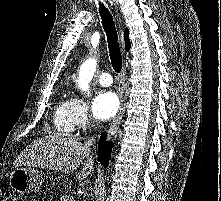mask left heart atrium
Masks as SVG:
<instances>
[{"mask_svg": "<svg viewBox=\"0 0 221 201\" xmlns=\"http://www.w3.org/2000/svg\"><path fill=\"white\" fill-rule=\"evenodd\" d=\"M119 99L112 91H100L95 97L92 105L94 117L99 121L112 118L118 111Z\"/></svg>", "mask_w": 221, "mask_h": 201, "instance_id": "left-heart-atrium-1", "label": "left heart atrium"}]
</instances>
